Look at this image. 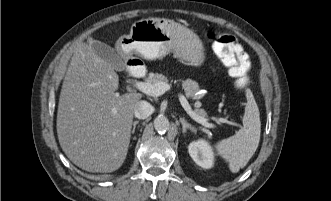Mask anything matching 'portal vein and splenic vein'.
Here are the masks:
<instances>
[{
  "mask_svg": "<svg viewBox=\"0 0 331 201\" xmlns=\"http://www.w3.org/2000/svg\"><path fill=\"white\" fill-rule=\"evenodd\" d=\"M133 87L138 89L139 91L153 97H158L163 95L166 91H169L171 86L168 83L164 82H157L155 84H150L147 82L137 81L134 83ZM179 101L185 111L198 123L207 127V128H214V124L209 123L207 119L198 116L191 108L190 104L188 103L186 97L183 94H179ZM220 121H224V119H220Z\"/></svg>",
  "mask_w": 331,
  "mask_h": 201,
  "instance_id": "1",
  "label": "portal vein and splenic vein"
}]
</instances>
